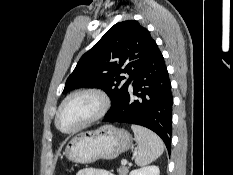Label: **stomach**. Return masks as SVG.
I'll return each instance as SVG.
<instances>
[{
    "mask_svg": "<svg viewBox=\"0 0 233 175\" xmlns=\"http://www.w3.org/2000/svg\"><path fill=\"white\" fill-rule=\"evenodd\" d=\"M132 137L124 129L104 125L73 137L63 154L72 162L87 164L99 159L112 160L129 150Z\"/></svg>",
    "mask_w": 233,
    "mask_h": 175,
    "instance_id": "stomach-1",
    "label": "stomach"
}]
</instances>
